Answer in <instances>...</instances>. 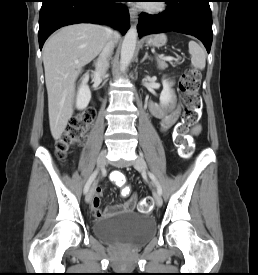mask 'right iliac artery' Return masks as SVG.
<instances>
[{
	"instance_id": "obj_1",
	"label": "right iliac artery",
	"mask_w": 258,
	"mask_h": 275,
	"mask_svg": "<svg viewBox=\"0 0 258 275\" xmlns=\"http://www.w3.org/2000/svg\"><path fill=\"white\" fill-rule=\"evenodd\" d=\"M97 171H94L92 174H91V176H90V178L88 179V181H87V183L85 184V186H84V193H87L88 192V190H89V188H90V185L92 184V182L94 181V179L96 178V176H97Z\"/></svg>"
}]
</instances>
